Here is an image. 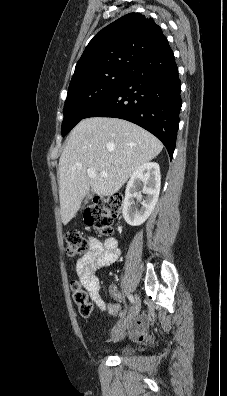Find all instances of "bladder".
<instances>
[{
    "mask_svg": "<svg viewBox=\"0 0 227 396\" xmlns=\"http://www.w3.org/2000/svg\"><path fill=\"white\" fill-rule=\"evenodd\" d=\"M110 350L104 349L103 352L107 353ZM117 354L120 356H131L134 354V350L130 347H122L116 350Z\"/></svg>",
    "mask_w": 227,
    "mask_h": 396,
    "instance_id": "bladder-1",
    "label": "bladder"
}]
</instances>
